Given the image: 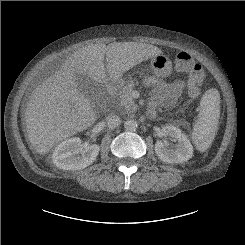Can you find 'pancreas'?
Masks as SVG:
<instances>
[{
    "label": "pancreas",
    "mask_w": 245,
    "mask_h": 245,
    "mask_svg": "<svg viewBox=\"0 0 245 245\" xmlns=\"http://www.w3.org/2000/svg\"><path fill=\"white\" fill-rule=\"evenodd\" d=\"M133 88L134 82L130 81L126 86L123 87L122 91H120L118 104L120 105V109L123 113L132 112L137 109V105L131 96Z\"/></svg>",
    "instance_id": "1"
}]
</instances>
